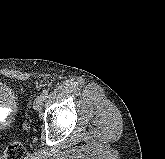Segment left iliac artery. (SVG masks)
<instances>
[{
  "instance_id": "44dca946",
  "label": "left iliac artery",
  "mask_w": 165,
  "mask_h": 159,
  "mask_svg": "<svg viewBox=\"0 0 165 159\" xmlns=\"http://www.w3.org/2000/svg\"><path fill=\"white\" fill-rule=\"evenodd\" d=\"M48 92H49L48 89H44L41 93V96L45 99L48 95Z\"/></svg>"
}]
</instances>
